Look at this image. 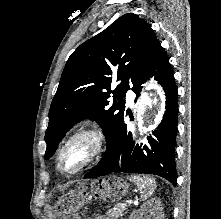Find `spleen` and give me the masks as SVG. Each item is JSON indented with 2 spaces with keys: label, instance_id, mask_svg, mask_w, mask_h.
Segmentation results:
<instances>
[{
  "label": "spleen",
  "instance_id": "3e777b00",
  "mask_svg": "<svg viewBox=\"0 0 221 219\" xmlns=\"http://www.w3.org/2000/svg\"><path fill=\"white\" fill-rule=\"evenodd\" d=\"M130 180H132L137 185L143 200H146L154 193L156 184L152 178L148 176H132Z\"/></svg>",
  "mask_w": 221,
  "mask_h": 219
}]
</instances>
